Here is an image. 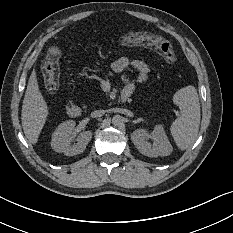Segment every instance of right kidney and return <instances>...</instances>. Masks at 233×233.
Instances as JSON below:
<instances>
[{
  "instance_id": "1",
  "label": "right kidney",
  "mask_w": 233,
  "mask_h": 233,
  "mask_svg": "<svg viewBox=\"0 0 233 233\" xmlns=\"http://www.w3.org/2000/svg\"><path fill=\"white\" fill-rule=\"evenodd\" d=\"M75 121L66 120L62 122L53 132L51 137V147L57 153H65L73 156L83 152L92 137L90 131L82 132L78 135L74 144L67 142L69 134L74 130Z\"/></svg>"
}]
</instances>
